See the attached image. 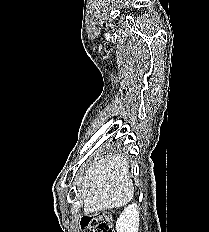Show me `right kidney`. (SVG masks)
<instances>
[{
  "mask_svg": "<svg viewBox=\"0 0 209 232\" xmlns=\"http://www.w3.org/2000/svg\"><path fill=\"white\" fill-rule=\"evenodd\" d=\"M139 211L137 204L129 205L116 222V232H138Z\"/></svg>",
  "mask_w": 209,
  "mask_h": 232,
  "instance_id": "ca27d5eb",
  "label": "right kidney"
}]
</instances>
